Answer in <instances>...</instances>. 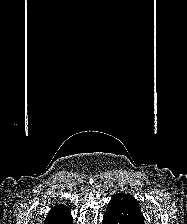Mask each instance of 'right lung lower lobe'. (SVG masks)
I'll return each mask as SVG.
<instances>
[{
    "instance_id": "right-lung-lower-lobe-1",
    "label": "right lung lower lobe",
    "mask_w": 187,
    "mask_h": 224,
    "mask_svg": "<svg viewBox=\"0 0 187 224\" xmlns=\"http://www.w3.org/2000/svg\"><path fill=\"white\" fill-rule=\"evenodd\" d=\"M73 219L70 211L62 216L56 217L51 221L46 222L45 224H72Z\"/></svg>"
}]
</instances>
